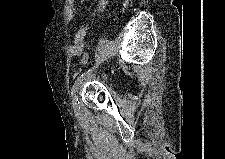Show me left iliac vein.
Masks as SVG:
<instances>
[{
    "label": "left iliac vein",
    "mask_w": 225,
    "mask_h": 159,
    "mask_svg": "<svg viewBox=\"0 0 225 159\" xmlns=\"http://www.w3.org/2000/svg\"><path fill=\"white\" fill-rule=\"evenodd\" d=\"M73 107H74V110L77 114H79V105H78V102L76 99H73Z\"/></svg>",
    "instance_id": "obj_1"
}]
</instances>
